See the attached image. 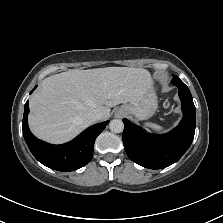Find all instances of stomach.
Returning a JSON list of instances; mask_svg holds the SVG:
<instances>
[{
  "instance_id": "obj_1",
  "label": "stomach",
  "mask_w": 223,
  "mask_h": 223,
  "mask_svg": "<svg viewBox=\"0 0 223 223\" xmlns=\"http://www.w3.org/2000/svg\"><path fill=\"white\" fill-rule=\"evenodd\" d=\"M158 107L156 92L153 87L147 90L143 97L133 103L122 105L118 110L124 109L126 116L133 115L138 120L151 117Z\"/></svg>"
}]
</instances>
